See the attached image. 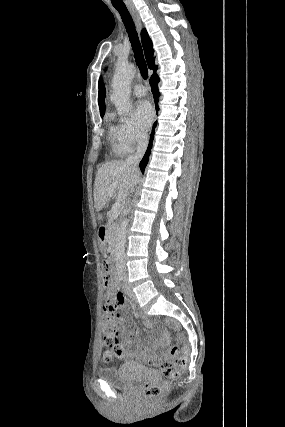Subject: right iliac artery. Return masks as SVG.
<instances>
[{
	"label": "right iliac artery",
	"instance_id": "82829eb1",
	"mask_svg": "<svg viewBox=\"0 0 285 427\" xmlns=\"http://www.w3.org/2000/svg\"><path fill=\"white\" fill-rule=\"evenodd\" d=\"M122 273H123V271H122V270H120V277H121V279H122Z\"/></svg>",
	"mask_w": 285,
	"mask_h": 427
}]
</instances>
